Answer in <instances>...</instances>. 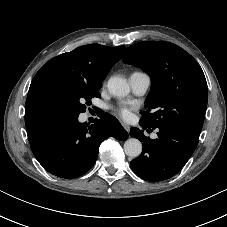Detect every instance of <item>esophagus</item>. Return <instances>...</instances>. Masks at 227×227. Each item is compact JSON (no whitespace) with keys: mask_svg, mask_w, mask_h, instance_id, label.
Wrapping results in <instances>:
<instances>
[{"mask_svg":"<svg viewBox=\"0 0 227 227\" xmlns=\"http://www.w3.org/2000/svg\"><path fill=\"white\" fill-rule=\"evenodd\" d=\"M121 124H122L123 128L129 133L130 132V126L127 125L126 123H123V122Z\"/></svg>","mask_w":227,"mask_h":227,"instance_id":"1","label":"esophagus"}]
</instances>
